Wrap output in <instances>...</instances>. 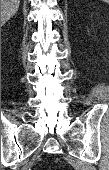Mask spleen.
<instances>
[{
    "label": "spleen",
    "mask_w": 109,
    "mask_h": 170,
    "mask_svg": "<svg viewBox=\"0 0 109 170\" xmlns=\"http://www.w3.org/2000/svg\"><path fill=\"white\" fill-rule=\"evenodd\" d=\"M102 1H104V2H108L109 0H102Z\"/></svg>",
    "instance_id": "1"
}]
</instances>
